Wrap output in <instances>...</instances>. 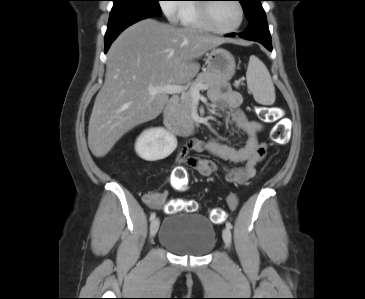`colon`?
Instances as JSON below:
<instances>
[{
	"label": "colon",
	"instance_id": "colon-1",
	"mask_svg": "<svg viewBox=\"0 0 365 299\" xmlns=\"http://www.w3.org/2000/svg\"><path fill=\"white\" fill-rule=\"evenodd\" d=\"M260 118L266 122H274L276 125L271 131V138L276 143H285L288 139V130L282 124V111L278 107L261 106L259 110ZM173 186L178 191H185L188 188V181L185 173H175L173 176ZM238 204V197L235 194L229 196L228 206L235 209ZM199 208V204L193 200L173 199L165 206L166 213H176L179 211L195 212ZM227 215L222 208H214L210 212V218L213 223H223Z\"/></svg>",
	"mask_w": 365,
	"mask_h": 299
}]
</instances>
